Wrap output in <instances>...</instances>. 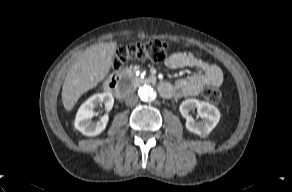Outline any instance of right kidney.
Returning <instances> with one entry per match:
<instances>
[{"label": "right kidney", "mask_w": 292, "mask_h": 192, "mask_svg": "<svg viewBox=\"0 0 292 192\" xmlns=\"http://www.w3.org/2000/svg\"><path fill=\"white\" fill-rule=\"evenodd\" d=\"M104 104L107 111L111 110L114 98L110 92L98 93L84 102L76 114L74 121L75 128L86 136H96L106 128L108 115H104L98 122H93L95 107Z\"/></svg>", "instance_id": "right-kidney-1"}]
</instances>
